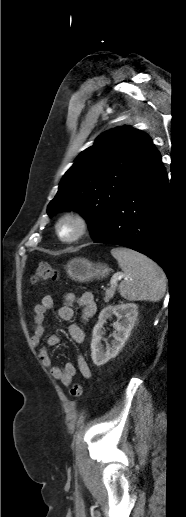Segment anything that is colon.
I'll use <instances>...</instances> for the list:
<instances>
[{
	"label": "colon",
	"mask_w": 186,
	"mask_h": 517,
	"mask_svg": "<svg viewBox=\"0 0 186 517\" xmlns=\"http://www.w3.org/2000/svg\"><path fill=\"white\" fill-rule=\"evenodd\" d=\"M59 277V272L57 269L52 267L47 263H42L36 269L32 281L34 283L43 282L46 280H57ZM83 393L82 385L78 382H75L70 389V394L73 398H80Z\"/></svg>",
	"instance_id": "colon-1"
}]
</instances>
